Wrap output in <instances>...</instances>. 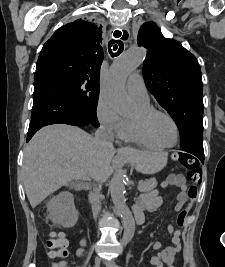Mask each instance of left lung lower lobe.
<instances>
[{
    "instance_id": "left-lung-lower-lobe-1",
    "label": "left lung lower lobe",
    "mask_w": 225,
    "mask_h": 267,
    "mask_svg": "<svg viewBox=\"0 0 225 267\" xmlns=\"http://www.w3.org/2000/svg\"><path fill=\"white\" fill-rule=\"evenodd\" d=\"M182 150L196 156L200 162L204 163V150L203 147H190V148H183Z\"/></svg>"
}]
</instances>
